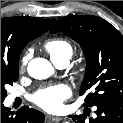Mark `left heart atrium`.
<instances>
[{"instance_id":"obj_1","label":"left heart atrium","mask_w":123,"mask_h":123,"mask_svg":"<svg viewBox=\"0 0 123 123\" xmlns=\"http://www.w3.org/2000/svg\"><path fill=\"white\" fill-rule=\"evenodd\" d=\"M70 94V89L66 85H52L40 89L33 96L32 101L47 111H57Z\"/></svg>"}]
</instances>
